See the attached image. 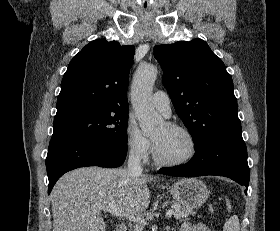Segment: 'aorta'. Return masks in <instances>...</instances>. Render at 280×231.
Instances as JSON below:
<instances>
[{"label":"aorta","mask_w":280,"mask_h":231,"mask_svg":"<svg viewBox=\"0 0 280 231\" xmlns=\"http://www.w3.org/2000/svg\"><path fill=\"white\" fill-rule=\"evenodd\" d=\"M157 74L158 70L153 64H140L132 84V106L145 135L155 133L164 121L162 116L156 114L151 98Z\"/></svg>","instance_id":"1"}]
</instances>
